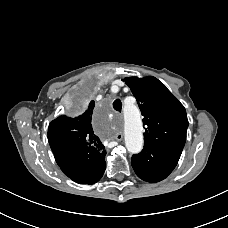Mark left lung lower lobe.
<instances>
[{"label": "left lung lower lobe", "instance_id": "left-lung-lower-lobe-1", "mask_svg": "<svg viewBox=\"0 0 228 228\" xmlns=\"http://www.w3.org/2000/svg\"><path fill=\"white\" fill-rule=\"evenodd\" d=\"M181 152L144 145V149L132 156L131 164L138 175L147 182L165 179L175 168Z\"/></svg>", "mask_w": 228, "mask_h": 228}]
</instances>
